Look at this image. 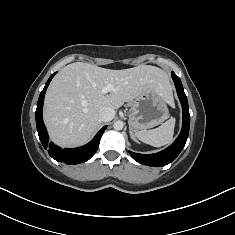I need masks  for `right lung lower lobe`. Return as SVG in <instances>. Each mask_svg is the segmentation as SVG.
Instances as JSON below:
<instances>
[{"label": "right lung lower lobe", "mask_w": 235, "mask_h": 235, "mask_svg": "<svg viewBox=\"0 0 235 235\" xmlns=\"http://www.w3.org/2000/svg\"><path fill=\"white\" fill-rule=\"evenodd\" d=\"M55 74L56 73L50 76V78L46 82L45 87L43 91L41 92L39 99H38L37 109H36V126H37L38 135H39V138L43 147L48 150L49 155L53 159L59 162H64L66 164L83 163L89 160L96 152L99 146L101 136L103 132L105 131L106 126L100 129V131L96 134L93 140L84 146H81L78 148H72V149H61L52 143L49 145L48 134L44 126L43 118H42V109H43V101H44L45 92L47 90V87L50 81L52 80Z\"/></svg>", "instance_id": "right-lung-lower-lobe-1"}]
</instances>
